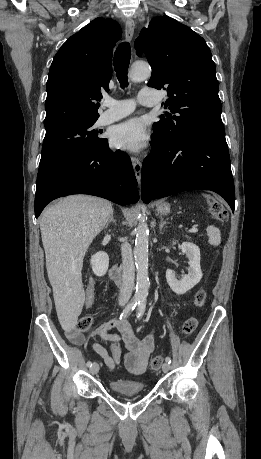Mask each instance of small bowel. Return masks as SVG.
I'll use <instances>...</instances> for the list:
<instances>
[{"mask_svg": "<svg viewBox=\"0 0 261 459\" xmlns=\"http://www.w3.org/2000/svg\"><path fill=\"white\" fill-rule=\"evenodd\" d=\"M95 285L91 279L85 293L84 306L89 309L94 303ZM113 328L117 329V333H110ZM67 338L70 342L76 345H81L84 337L81 333L72 329L67 332ZM92 338L95 340L92 348L106 364L110 371H113L120 361V356H111L107 350L97 342L98 339L111 342H122L126 348L123 360L125 367L129 373L139 375L142 374L148 365L149 358L155 349V338L152 333L146 334L144 337H138L131 324L125 318H113L99 327H97Z\"/></svg>", "mask_w": 261, "mask_h": 459, "instance_id": "c3829d8e", "label": "small bowel"}]
</instances>
